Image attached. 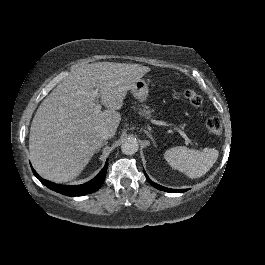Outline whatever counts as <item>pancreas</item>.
<instances>
[{"instance_id": "1", "label": "pancreas", "mask_w": 265, "mask_h": 265, "mask_svg": "<svg viewBox=\"0 0 265 265\" xmlns=\"http://www.w3.org/2000/svg\"><path fill=\"white\" fill-rule=\"evenodd\" d=\"M134 111H136L139 115H141L144 118H151L152 113L155 112V107L150 108L148 105L143 106H137L134 108Z\"/></svg>"}]
</instances>
